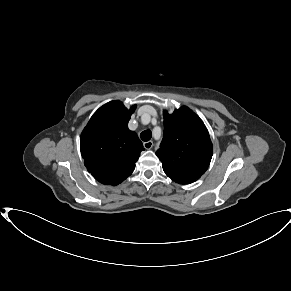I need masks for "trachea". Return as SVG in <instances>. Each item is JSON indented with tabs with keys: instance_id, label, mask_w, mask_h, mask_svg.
I'll return each instance as SVG.
<instances>
[{
	"instance_id": "trachea-1",
	"label": "trachea",
	"mask_w": 291,
	"mask_h": 291,
	"mask_svg": "<svg viewBox=\"0 0 291 291\" xmlns=\"http://www.w3.org/2000/svg\"><path fill=\"white\" fill-rule=\"evenodd\" d=\"M140 137L143 141L147 142L151 139L152 133L150 130H145L140 134Z\"/></svg>"
}]
</instances>
